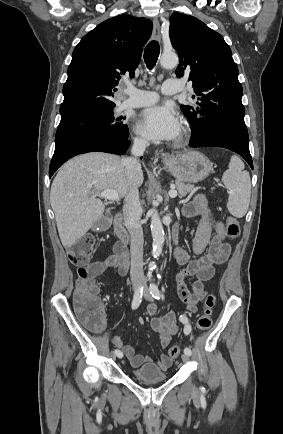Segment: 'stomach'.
Returning <instances> with one entry per match:
<instances>
[{
	"label": "stomach",
	"mask_w": 283,
	"mask_h": 434,
	"mask_svg": "<svg viewBox=\"0 0 283 434\" xmlns=\"http://www.w3.org/2000/svg\"><path fill=\"white\" fill-rule=\"evenodd\" d=\"M165 167L177 179L186 183H198L212 171V163L202 153L189 151L163 160Z\"/></svg>",
	"instance_id": "stomach-1"
}]
</instances>
